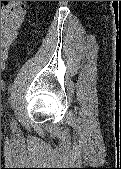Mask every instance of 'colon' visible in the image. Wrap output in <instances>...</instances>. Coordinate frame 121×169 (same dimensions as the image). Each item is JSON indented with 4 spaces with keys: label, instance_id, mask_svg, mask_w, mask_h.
<instances>
[{
    "label": "colon",
    "instance_id": "colon-1",
    "mask_svg": "<svg viewBox=\"0 0 121 169\" xmlns=\"http://www.w3.org/2000/svg\"><path fill=\"white\" fill-rule=\"evenodd\" d=\"M25 15L23 1H5L1 9V61L7 60Z\"/></svg>",
    "mask_w": 121,
    "mask_h": 169
}]
</instances>
